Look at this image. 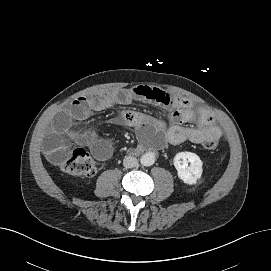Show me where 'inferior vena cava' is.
Segmentation results:
<instances>
[{
  "label": "inferior vena cava",
  "instance_id": "602c4592",
  "mask_svg": "<svg viewBox=\"0 0 271 271\" xmlns=\"http://www.w3.org/2000/svg\"><path fill=\"white\" fill-rule=\"evenodd\" d=\"M123 165L126 168H133L138 166V159L133 156H126L123 160Z\"/></svg>",
  "mask_w": 271,
  "mask_h": 271
}]
</instances>
